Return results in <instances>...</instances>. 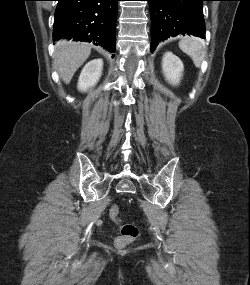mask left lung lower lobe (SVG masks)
<instances>
[{
	"mask_svg": "<svg viewBox=\"0 0 250 285\" xmlns=\"http://www.w3.org/2000/svg\"><path fill=\"white\" fill-rule=\"evenodd\" d=\"M151 16V52L159 42L179 34L205 38L203 1L147 0Z\"/></svg>",
	"mask_w": 250,
	"mask_h": 285,
	"instance_id": "obj_1",
	"label": "left lung lower lobe"
}]
</instances>
